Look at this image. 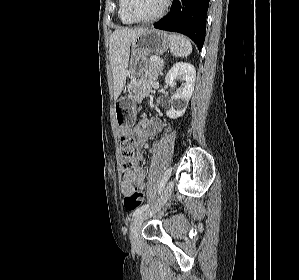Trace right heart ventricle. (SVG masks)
Listing matches in <instances>:
<instances>
[{
	"label": "right heart ventricle",
	"instance_id": "1",
	"mask_svg": "<svg viewBox=\"0 0 299 280\" xmlns=\"http://www.w3.org/2000/svg\"><path fill=\"white\" fill-rule=\"evenodd\" d=\"M118 15H119V18H120V20L122 21L123 24L131 25V24L134 23L126 15L125 0H119Z\"/></svg>",
	"mask_w": 299,
	"mask_h": 280
}]
</instances>
